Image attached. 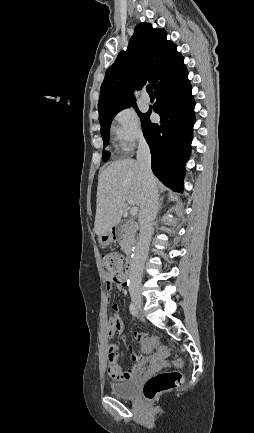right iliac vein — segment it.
<instances>
[{
    "instance_id": "obj_1",
    "label": "right iliac vein",
    "mask_w": 254,
    "mask_h": 433,
    "mask_svg": "<svg viewBox=\"0 0 254 433\" xmlns=\"http://www.w3.org/2000/svg\"><path fill=\"white\" fill-rule=\"evenodd\" d=\"M131 298H132V301L135 304V306L140 310L142 308V305H143L141 295L138 292H132Z\"/></svg>"
}]
</instances>
